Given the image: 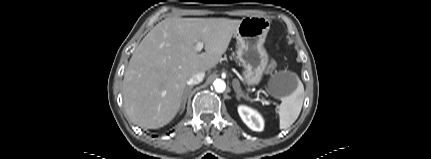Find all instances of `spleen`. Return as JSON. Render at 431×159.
Here are the masks:
<instances>
[{
  "instance_id": "spleen-1",
  "label": "spleen",
  "mask_w": 431,
  "mask_h": 159,
  "mask_svg": "<svg viewBox=\"0 0 431 159\" xmlns=\"http://www.w3.org/2000/svg\"><path fill=\"white\" fill-rule=\"evenodd\" d=\"M304 101V86L299 80L298 87L290 96L284 98L278 106L280 129H287L298 118Z\"/></svg>"
}]
</instances>
